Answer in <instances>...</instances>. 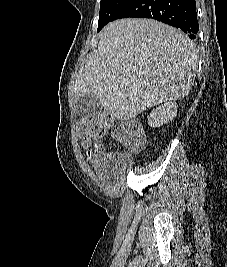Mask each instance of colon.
I'll list each match as a JSON object with an SVG mask.
<instances>
[{
	"label": "colon",
	"instance_id": "colon-1",
	"mask_svg": "<svg viewBox=\"0 0 227 267\" xmlns=\"http://www.w3.org/2000/svg\"><path fill=\"white\" fill-rule=\"evenodd\" d=\"M112 123L113 119L109 113L98 112L92 116L82 117L78 122V131L85 139L99 141L108 133ZM118 137L133 152L140 151L145 144L143 130L130 121L123 123L119 127Z\"/></svg>",
	"mask_w": 227,
	"mask_h": 267
}]
</instances>
